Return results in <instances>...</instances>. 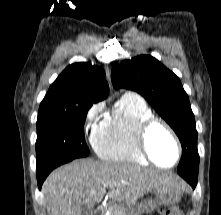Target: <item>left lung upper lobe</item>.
<instances>
[{"label": "left lung upper lobe", "mask_w": 221, "mask_h": 215, "mask_svg": "<svg viewBox=\"0 0 221 215\" xmlns=\"http://www.w3.org/2000/svg\"><path fill=\"white\" fill-rule=\"evenodd\" d=\"M115 88L140 93L173 128L182 145L178 173L198 174V133L188 95L179 78L152 56L141 55L115 66Z\"/></svg>", "instance_id": "obj_1"}]
</instances>
